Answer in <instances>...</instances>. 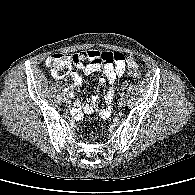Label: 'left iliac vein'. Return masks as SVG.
Listing matches in <instances>:
<instances>
[{"label": "left iliac vein", "instance_id": "4c4485c4", "mask_svg": "<svg viewBox=\"0 0 195 195\" xmlns=\"http://www.w3.org/2000/svg\"><path fill=\"white\" fill-rule=\"evenodd\" d=\"M126 105V99L125 98H120L118 102L119 107H123Z\"/></svg>", "mask_w": 195, "mask_h": 195}]
</instances>
